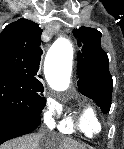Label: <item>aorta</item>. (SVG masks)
<instances>
[{"instance_id":"1","label":"aorta","mask_w":124,"mask_h":149,"mask_svg":"<svg viewBox=\"0 0 124 149\" xmlns=\"http://www.w3.org/2000/svg\"><path fill=\"white\" fill-rule=\"evenodd\" d=\"M59 65L56 71L46 70V78L49 85L55 90H63L68 86V78L71 70L73 48L68 40H61L57 44Z\"/></svg>"}]
</instances>
